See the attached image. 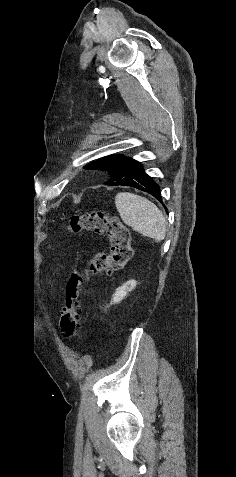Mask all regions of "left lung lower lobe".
<instances>
[{"label": "left lung lower lobe", "instance_id": "0a47b994", "mask_svg": "<svg viewBox=\"0 0 236 477\" xmlns=\"http://www.w3.org/2000/svg\"><path fill=\"white\" fill-rule=\"evenodd\" d=\"M118 185L134 187L138 190L147 192L162 202L159 185L156 184L153 179L144 172L142 165L139 162H136L134 169L128 178Z\"/></svg>", "mask_w": 236, "mask_h": 477}]
</instances>
